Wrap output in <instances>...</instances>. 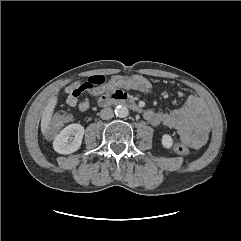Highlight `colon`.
Listing matches in <instances>:
<instances>
[{"label": "colon", "mask_w": 241, "mask_h": 241, "mask_svg": "<svg viewBox=\"0 0 241 241\" xmlns=\"http://www.w3.org/2000/svg\"><path fill=\"white\" fill-rule=\"evenodd\" d=\"M124 90H138L146 94L153 91L151 83L142 76H118L106 81L104 76L93 75L82 82H76L71 86V95L80 97L84 92H90L94 95L101 93H117ZM106 94V95H107ZM68 120V115L64 112H59L52 120L49 121L46 127L48 136H54L63 124ZM175 153L181 156L189 154L188 148L182 143H175L173 146Z\"/></svg>", "instance_id": "colon-1"}]
</instances>
